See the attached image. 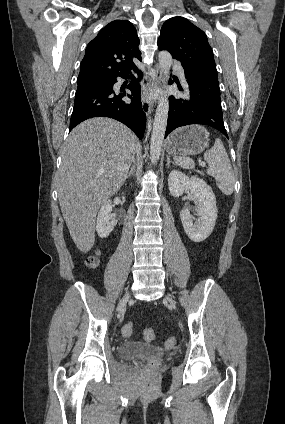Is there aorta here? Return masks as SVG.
<instances>
[{"label":"aorta","instance_id":"1","mask_svg":"<svg viewBox=\"0 0 285 424\" xmlns=\"http://www.w3.org/2000/svg\"><path fill=\"white\" fill-rule=\"evenodd\" d=\"M161 73L167 78L172 66V56L168 51H161L158 55ZM169 112V100L164 94L158 102L153 121L151 134L150 157L153 162H157L161 155L162 144L165 136L167 119Z\"/></svg>","mask_w":285,"mask_h":424}]
</instances>
